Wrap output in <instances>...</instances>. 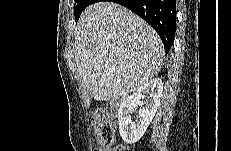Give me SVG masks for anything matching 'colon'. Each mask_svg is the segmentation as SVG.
I'll return each instance as SVG.
<instances>
[{
    "label": "colon",
    "instance_id": "5ec220e1",
    "mask_svg": "<svg viewBox=\"0 0 231 151\" xmlns=\"http://www.w3.org/2000/svg\"><path fill=\"white\" fill-rule=\"evenodd\" d=\"M95 128L98 140L107 146L108 151H122L121 147L113 146L114 126L113 113L111 111L98 110L95 113Z\"/></svg>",
    "mask_w": 231,
    "mask_h": 151
}]
</instances>
